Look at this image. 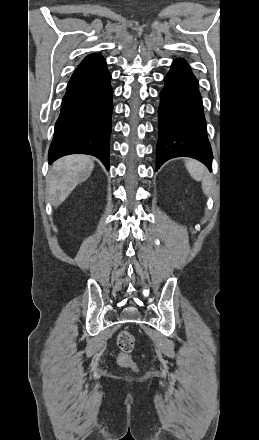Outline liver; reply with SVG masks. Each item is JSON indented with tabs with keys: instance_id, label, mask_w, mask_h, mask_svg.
<instances>
[{
	"instance_id": "1",
	"label": "liver",
	"mask_w": 259,
	"mask_h": 440,
	"mask_svg": "<svg viewBox=\"0 0 259 440\" xmlns=\"http://www.w3.org/2000/svg\"><path fill=\"white\" fill-rule=\"evenodd\" d=\"M93 169V159L87 155H69L55 161L48 174L52 205H61L79 183L90 177Z\"/></svg>"
}]
</instances>
